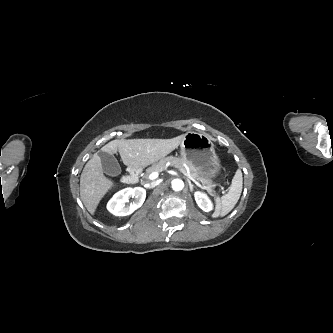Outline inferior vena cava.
Masks as SVG:
<instances>
[{
    "label": "inferior vena cava",
    "instance_id": "602c4592",
    "mask_svg": "<svg viewBox=\"0 0 333 333\" xmlns=\"http://www.w3.org/2000/svg\"><path fill=\"white\" fill-rule=\"evenodd\" d=\"M155 186H157V182H152L148 185L149 188H154Z\"/></svg>",
    "mask_w": 333,
    "mask_h": 333
}]
</instances>
